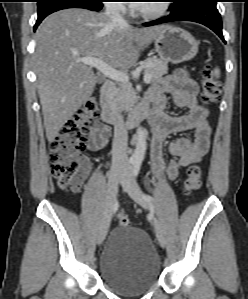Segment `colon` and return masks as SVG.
<instances>
[{
	"instance_id": "colon-1",
	"label": "colon",
	"mask_w": 248,
	"mask_h": 299,
	"mask_svg": "<svg viewBox=\"0 0 248 299\" xmlns=\"http://www.w3.org/2000/svg\"><path fill=\"white\" fill-rule=\"evenodd\" d=\"M221 86L216 80L211 66L202 70L201 95L202 105H210L217 101ZM99 113L95 97L88 99L61 128L59 134L50 142L51 172L58 186L65 190H78L86 173L82 165V151L88 138L86 125ZM202 171L198 165H191L186 172L184 193L190 195L201 186ZM118 222L122 227L131 225L128 216L121 214Z\"/></svg>"
}]
</instances>
